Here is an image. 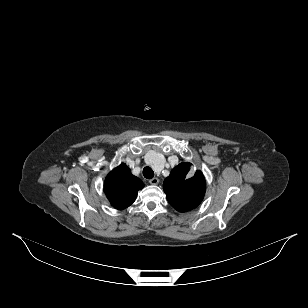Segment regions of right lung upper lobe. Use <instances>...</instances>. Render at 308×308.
I'll return each mask as SVG.
<instances>
[{"mask_svg": "<svg viewBox=\"0 0 308 308\" xmlns=\"http://www.w3.org/2000/svg\"><path fill=\"white\" fill-rule=\"evenodd\" d=\"M144 187L143 182L131 174L130 169L121 164L112 170L104 183L105 194L116 209H125L136 199L137 193Z\"/></svg>", "mask_w": 308, "mask_h": 308, "instance_id": "obj_1", "label": "right lung upper lobe"}]
</instances>
